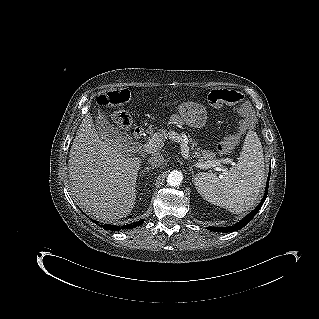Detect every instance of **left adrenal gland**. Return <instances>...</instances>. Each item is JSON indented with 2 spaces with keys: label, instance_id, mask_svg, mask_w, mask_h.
I'll list each match as a JSON object with an SVG mask.
<instances>
[{
  "label": "left adrenal gland",
  "instance_id": "1",
  "mask_svg": "<svg viewBox=\"0 0 319 319\" xmlns=\"http://www.w3.org/2000/svg\"><path fill=\"white\" fill-rule=\"evenodd\" d=\"M189 170H190L191 174H192L193 177H194V170H193L192 166H189Z\"/></svg>",
  "mask_w": 319,
  "mask_h": 319
}]
</instances>
